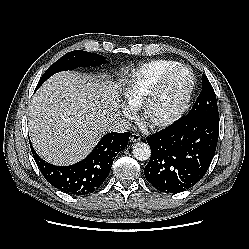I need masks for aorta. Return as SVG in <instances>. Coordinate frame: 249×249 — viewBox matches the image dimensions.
Returning a JSON list of instances; mask_svg holds the SVG:
<instances>
[{
	"mask_svg": "<svg viewBox=\"0 0 249 249\" xmlns=\"http://www.w3.org/2000/svg\"><path fill=\"white\" fill-rule=\"evenodd\" d=\"M133 155L137 160L146 161L151 156V149L147 143L137 142L133 146Z\"/></svg>",
	"mask_w": 249,
	"mask_h": 249,
	"instance_id": "762f6f07",
	"label": "aorta"
}]
</instances>
